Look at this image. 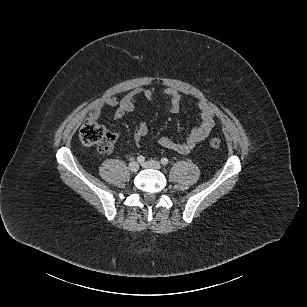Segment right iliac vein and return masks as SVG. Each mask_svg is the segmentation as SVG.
Returning a JSON list of instances; mask_svg holds the SVG:
<instances>
[{
  "label": "right iliac vein",
  "mask_w": 307,
  "mask_h": 307,
  "mask_svg": "<svg viewBox=\"0 0 307 307\" xmlns=\"http://www.w3.org/2000/svg\"><path fill=\"white\" fill-rule=\"evenodd\" d=\"M128 168H129V170H130L131 172H137L138 169H139V165H138L137 162L133 161V162H130V163H129Z\"/></svg>",
  "instance_id": "obj_1"
}]
</instances>
